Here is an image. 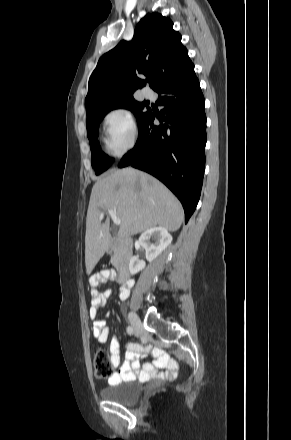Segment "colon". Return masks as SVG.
<instances>
[{
    "label": "colon",
    "instance_id": "1",
    "mask_svg": "<svg viewBox=\"0 0 291 440\" xmlns=\"http://www.w3.org/2000/svg\"><path fill=\"white\" fill-rule=\"evenodd\" d=\"M93 369L95 375L99 378H106L111 375V364L105 351H96L93 358Z\"/></svg>",
    "mask_w": 291,
    "mask_h": 440
}]
</instances>
